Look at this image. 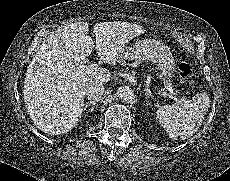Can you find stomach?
Wrapping results in <instances>:
<instances>
[{"label": "stomach", "mask_w": 230, "mask_h": 181, "mask_svg": "<svg viewBox=\"0 0 230 181\" xmlns=\"http://www.w3.org/2000/svg\"><path fill=\"white\" fill-rule=\"evenodd\" d=\"M149 55L157 59L162 77L170 78L175 71L174 60L156 41L151 39H137L132 46H125L120 62L125 65L136 66Z\"/></svg>", "instance_id": "1"}]
</instances>
